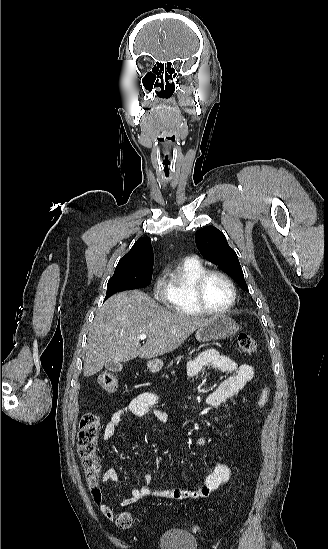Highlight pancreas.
Masks as SVG:
<instances>
[{"label": "pancreas", "mask_w": 328, "mask_h": 549, "mask_svg": "<svg viewBox=\"0 0 328 549\" xmlns=\"http://www.w3.org/2000/svg\"><path fill=\"white\" fill-rule=\"evenodd\" d=\"M181 359H183V357H176L175 361H181ZM171 365H173V361H171V363H169L168 367H171Z\"/></svg>", "instance_id": "1"}]
</instances>
